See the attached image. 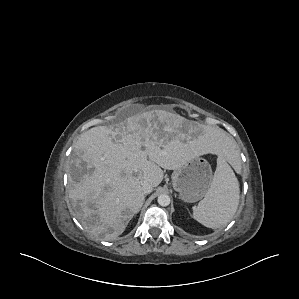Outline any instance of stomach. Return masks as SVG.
<instances>
[{
	"label": "stomach",
	"mask_w": 299,
	"mask_h": 299,
	"mask_svg": "<svg viewBox=\"0 0 299 299\" xmlns=\"http://www.w3.org/2000/svg\"><path fill=\"white\" fill-rule=\"evenodd\" d=\"M213 180L210 164L204 158H195L172 173V185L184 202L201 200L208 193Z\"/></svg>",
	"instance_id": "0dacf381"
}]
</instances>
